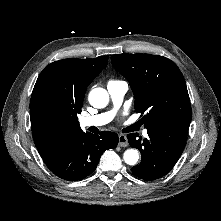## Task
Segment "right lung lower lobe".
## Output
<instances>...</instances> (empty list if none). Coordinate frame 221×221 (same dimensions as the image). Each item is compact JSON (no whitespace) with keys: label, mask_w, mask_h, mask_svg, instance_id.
<instances>
[{"label":"right lung lower lobe","mask_w":221,"mask_h":221,"mask_svg":"<svg viewBox=\"0 0 221 221\" xmlns=\"http://www.w3.org/2000/svg\"><path fill=\"white\" fill-rule=\"evenodd\" d=\"M118 141L114 132L104 131L101 136L81 133L40 155L56 176L67 181L81 180L96 169L102 153L115 148Z\"/></svg>","instance_id":"obj_1"}]
</instances>
